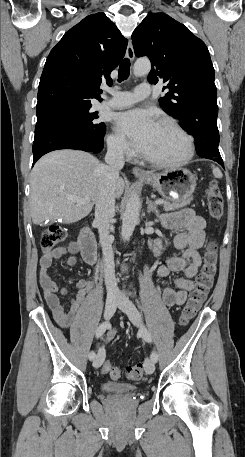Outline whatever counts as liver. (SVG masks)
<instances>
[{"label":"liver","instance_id":"obj_1","mask_svg":"<svg viewBox=\"0 0 245 457\" xmlns=\"http://www.w3.org/2000/svg\"><path fill=\"white\" fill-rule=\"evenodd\" d=\"M100 160L84 150H53L35 162L30 178V210L32 222L62 218L76 222L87 216L98 200ZM115 196L124 192V180L115 182ZM70 196L87 198L86 204L69 200Z\"/></svg>","mask_w":245,"mask_h":457}]
</instances>
